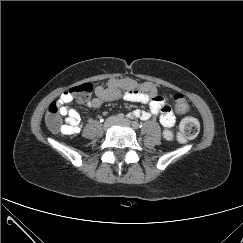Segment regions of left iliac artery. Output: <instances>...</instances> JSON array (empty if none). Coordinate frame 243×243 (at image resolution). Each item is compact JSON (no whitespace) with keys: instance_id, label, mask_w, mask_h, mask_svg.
<instances>
[{"instance_id":"1","label":"left iliac artery","mask_w":243,"mask_h":243,"mask_svg":"<svg viewBox=\"0 0 243 243\" xmlns=\"http://www.w3.org/2000/svg\"><path fill=\"white\" fill-rule=\"evenodd\" d=\"M133 126L135 128H141L142 127V125H139V123H137L136 121L133 122Z\"/></svg>"}]
</instances>
